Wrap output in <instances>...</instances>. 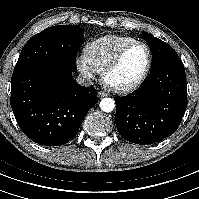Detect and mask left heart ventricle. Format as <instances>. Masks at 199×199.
<instances>
[{
  "mask_svg": "<svg viewBox=\"0 0 199 199\" xmlns=\"http://www.w3.org/2000/svg\"><path fill=\"white\" fill-rule=\"evenodd\" d=\"M147 62V52L141 45L132 47L123 57L119 66L107 78L109 84L123 86L134 82L143 72Z\"/></svg>",
  "mask_w": 199,
  "mask_h": 199,
  "instance_id": "obj_1",
  "label": "left heart ventricle"
}]
</instances>
